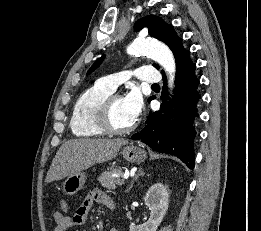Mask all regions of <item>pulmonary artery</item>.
<instances>
[{"label": "pulmonary artery", "mask_w": 261, "mask_h": 231, "mask_svg": "<svg viewBox=\"0 0 261 231\" xmlns=\"http://www.w3.org/2000/svg\"><path fill=\"white\" fill-rule=\"evenodd\" d=\"M130 74L134 75L138 80L146 83L158 84L162 81L161 76L154 67L142 66L135 71H126L122 74L114 73L106 75L100 79L99 83L114 92L121 82L126 79V76Z\"/></svg>", "instance_id": "obj_1"}]
</instances>
